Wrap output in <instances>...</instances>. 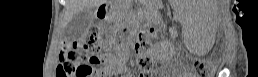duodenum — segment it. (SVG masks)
<instances>
[{"label": "duodenum", "mask_w": 258, "mask_h": 77, "mask_svg": "<svg viewBox=\"0 0 258 77\" xmlns=\"http://www.w3.org/2000/svg\"><path fill=\"white\" fill-rule=\"evenodd\" d=\"M102 12L106 13L107 12V8L105 6L102 7Z\"/></svg>", "instance_id": "1"}]
</instances>
